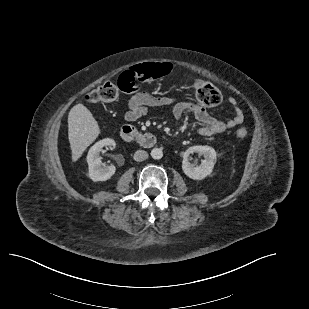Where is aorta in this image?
I'll return each instance as SVG.
<instances>
[{
	"instance_id": "762f6f07",
	"label": "aorta",
	"mask_w": 309,
	"mask_h": 309,
	"mask_svg": "<svg viewBox=\"0 0 309 309\" xmlns=\"http://www.w3.org/2000/svg\"><path fill=\"white\" fill-rule=\"evenodd\" d=\"M151 157L155 160H159L163 157V151L161 148H153L151 150Z\"/></svg>"
}]
</instances>
